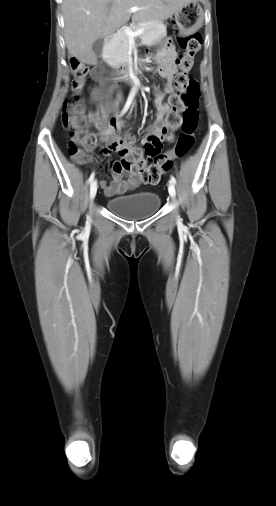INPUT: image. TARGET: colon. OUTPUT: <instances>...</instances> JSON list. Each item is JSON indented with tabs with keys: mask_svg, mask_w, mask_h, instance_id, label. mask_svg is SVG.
I'll list each match as a JSON object with an SVG mask.
<instances>
[{
	"mask_svg": "<svg viewBox=\"0 0 276 506\" xmlns=\"http://www.w3.org/2000/svg\"><path fill=\"white\" fill-rule=\"evenodd\" d=\"M179 41L185 52L178 61L180 72L174 78L175 92L169 98L171 109L166 115L169 128L181 126L174 152L158 155L161 140L154 136L149 137L144 145L137 146L133 135L118 136L114 131L104 134L99 130L98 120L85 111L80 97L72 96L64 103L62 114V123L69 136L67 149L70 158L80 161L84 151H91L97 146V135L100 134L101 140L107 144L103 150L104 155L115 149L119 150L122 167L139 175L143 183L154 185L170 169L176 157H183L192 149L198 126L200 88L198 82L189 76V71L194 56L200 49L201 36L194 33L181 36ZM69 62L75 82L82 84L86 68L80 65L76 55H71ZM98 74L102 77L103 70H99ZM166 139L175 141L172 132L167 133ZM150 156H156V159L149 164L147 159Z\"/></svg>",
	"mask_w": 276,
	"mask_h": 506,
	"instance_id": "obj_1",
	"label": "colon"
}]
</instances>
